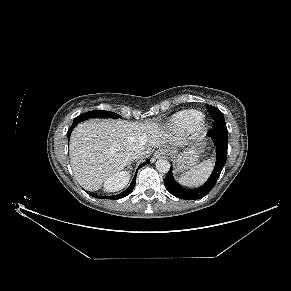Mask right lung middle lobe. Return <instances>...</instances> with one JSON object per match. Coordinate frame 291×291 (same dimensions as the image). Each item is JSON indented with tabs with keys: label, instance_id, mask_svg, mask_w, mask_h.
I'll use <instances>...</instances> for the list:
<instances>
[{
	"label": "right lung middle lobe",
	"instance_id": "right-lung-middle-lobe-1",
	"mask_svg": "<svg viewBox=\"0 0 291 291\" xmlns=\"http://www.w3.org/2000/svg\"><path fill=\"white\" fill-rule=\"evenodd\" d=\"M95 117H102V118L110 117V118L116 119V118H119L121 116L116 114V113H114V112H110V111L94 110V111L86 112V113H83V114L77 116L74 119V122L80 123V122H82L84 120H87V119H90V118H95Z\"/></svg>",
	"mask_w": 291,
	"mask_h": 291
}]
</instances>
